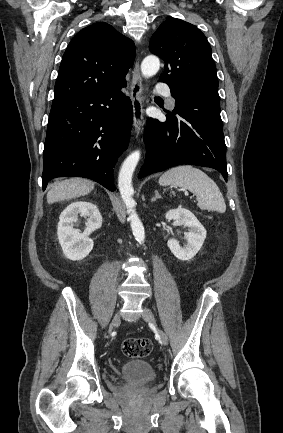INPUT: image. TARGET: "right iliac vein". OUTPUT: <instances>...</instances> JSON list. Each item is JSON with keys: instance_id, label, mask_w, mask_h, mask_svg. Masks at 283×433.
Masks as SVG:
<instances>
[{"instance_id": "obj_1", "label": "right iliac vein", "mask_w": 283, "mask_h": 433, "mask_svg": "<svg viewBox=\"0 0 283 433\" xmlns=\"http://www.w3.org/2000/svg\"><path fill=\"white\" fill-rule=\"evenodd\" d=\"M119 323H120V315H119V313H117L116 316L114 317V319L112 320V323H111V325H110V331H109V332H111L112 329H113L117 324H119Z\"/></svg>"}]
</instances>
